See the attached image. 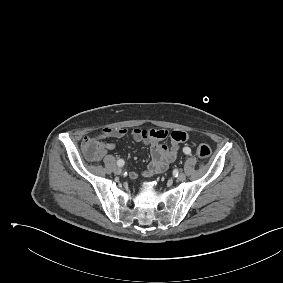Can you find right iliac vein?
<instances>
[{
    "label": "right iliac vein",
    "instance_id": "obj_1",
    "mask_svg": "<svg viewBox=\"0 0 283 283\" xmlns=\"http://www.w3.org/2000/svg\"><path fill=\"white\" fill-rule=\"evenodd\" d=\"M114 173H115L116 175H119V174L122 173V169H121L120 167H116V168L114 169Z\"/></svg>",
    "mask_w": 283,
    "mask_h": 283
}]
</instances>
